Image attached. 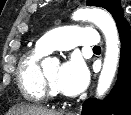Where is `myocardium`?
<instances>
[{
    "label": "myocardium",
    "mask_w": 131,
    "mask_h": 115,
    "mask_svg": "<svg viewBox=\"0 0 131 115\" xmlns=\"http://www.w3.org/2000/svg\"><path fill=\"white\" fill-rule=\"evenodd\" d=\"M42 87L45 94V97L48 99H58L59 97L52 91L50 82L45 75V72H42Z\"/></svg>",
    "instance_id": "1"
}]
</instances>
